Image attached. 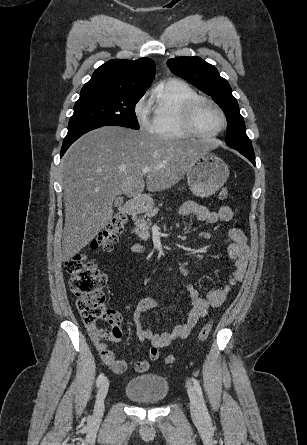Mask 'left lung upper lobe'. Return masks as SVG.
Here are the masks:
<instances>
[{
    "label": "left lung upper lobe",
    "instance_id": "left-lung-upper-lobe-1",
    "mask_svg": "<svg viewBox=\"0 0 307 445\" xmlns=\"http://www.w3.org/2000/svg\"><path fill=\"white\" fill-rule=\"evenodd\" d=\"M167 66L174 74L183 77L199 90L211 96L223 109L228 122L226 136L228 146L234 149L253 150L231 87L213 65L194 56L169 59Z\"/></svg>",
    "mask_w": 307,
    "mask_h": 445
}]
</instances>
